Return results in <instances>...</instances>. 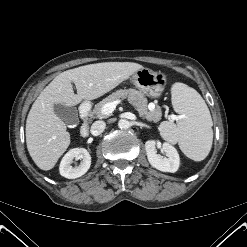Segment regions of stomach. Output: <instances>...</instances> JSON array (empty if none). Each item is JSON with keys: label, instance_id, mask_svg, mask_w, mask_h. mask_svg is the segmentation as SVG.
<instances>
[{"label": "stomach", "instance_id": "1", "mask_svg": "<svg viewBox=\"0 0 247 247\" xmlns=\"http://www.w3.org/2000/svg\"><path fill=\"white\" fill-rule=\"evenodd\" d=\"M131 82L149 97L159 98L165 89L167 78L162 72H154L143 67L133 74Z\"/></svg>", "mask_w": 247, "mask_h": 247}]
</instances>
